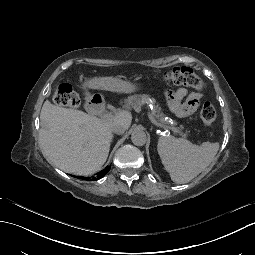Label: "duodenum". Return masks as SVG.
Returning <instances> with one entry per match:
<instances>
[{
    "mask_svg": "<svg viewBox=\"0 0 255 255\" xmlns=\"http://www.w3.org/2000/svg\"><path fill=\"white\" fill-rule=\"evenodd\" d=\"M85 106L89 114L94 117H101L105 113V103L99 94L92 93L89 88L84 91Z\"/></svg>",
    "mask_w": 255,
    "mask_h": 255,
    "instance_id": "1",
    "label": "duodenum"
}]
</instances>
